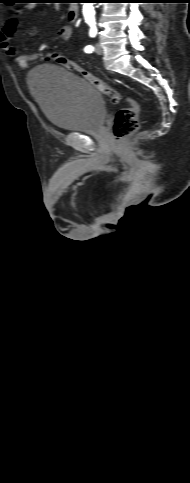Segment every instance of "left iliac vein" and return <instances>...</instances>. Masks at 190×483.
Here are the masks:
<instances>
[{"instance_id":"1","label":"left iliac vein","mask_w":190,"mask_h":483,"mask_svg":"<svg viewBox=\"0 0 190 483\" xmlns=\"http://www.w3.org/2000/svg\"><path fill=\"white\" fill-rule=\"evenodd\" d=\"M95 52H96L97 54H99V55L103 54V49H102V46H101V44H100V43H97V44L95 45Z\"/></svg>"}]
</instances>
